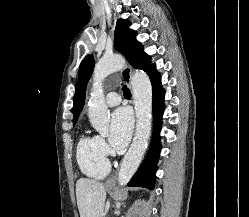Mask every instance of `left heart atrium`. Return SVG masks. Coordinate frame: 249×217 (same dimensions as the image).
<instances>
[{"label":"left heart atrium","instance_id":"39dd6f15","mask_svg":"<svg viewBox=\"0 0 249 217\" xmlns=\"http://www.w3.org/2000/svg\"><path fill=\"white\" fill-rule=\"evenodd\" d=\"M133 128L132 115L128 109L120 107L111 118L109 141L116 149L124 148L131 136Z\"/></svg>","mask_w":249,"mask_h":217}]
</instances>
